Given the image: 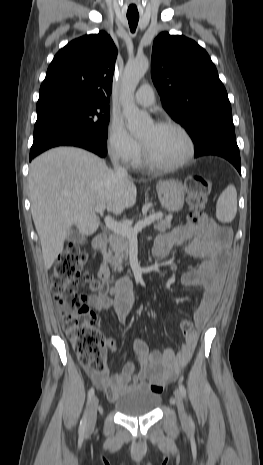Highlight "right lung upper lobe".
Segmentation results:
<instances>
[{
	"mask_svg": "<svg viewBox=\"0 0 263 465\" xmlns=\"http://www.w3.org/2000/svg\"><path fill=\"white\" fill-rule=\"evenodd\" d=\"M116 57L115 44L103 31L71 41L48 67L38 102L75 97L108 103Z\"/></svg>",
	"mask_w": 263,
	"mask_h": 465,
	"instance_id": "1",
	"label": "right lung upper lobe"
}]
</instances>
